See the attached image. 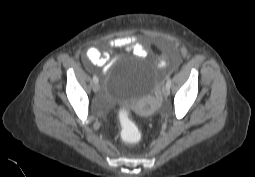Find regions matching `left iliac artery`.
Here are the masks:
<instances>
[{
	"mask_svg": "<svg viewBox=\"0 0 255 177\" xmlns=\"http://www.w3.org/2000/svg\"><path fill=\"white\" fill-rule=\"evenodd\" d=\"M166 87L169 88V89L171 87V79H170V77H168V79H167Z\"/></svg>",
	"mask_w": 255,
	"mask_h": 177,
	"instance_id": "1",
	"label": "left iliac artery"
}]
</instances>
